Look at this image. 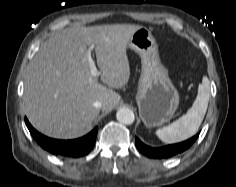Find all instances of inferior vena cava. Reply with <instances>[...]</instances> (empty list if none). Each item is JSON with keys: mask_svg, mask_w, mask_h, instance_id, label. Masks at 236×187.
<instances>
[{"mask_svg": "<svg viewBox=\"0 0 236 187\" xmlns=\"http://www.w3.org/2000/svg\"><path fill=\"white\" fill-rule=\"evenodd\" d=\"M93 106L95 107V108H101V106H102V103L100 102V101H96V102H94L93 103Z\"/></svg>", "mask_w": 236, "mask_h": 187, "instance_id": "obj_1", "label": "inferior vena cava"}]
</instances>
